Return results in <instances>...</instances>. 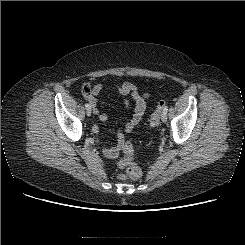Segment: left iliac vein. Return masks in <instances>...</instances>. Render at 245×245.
I'll return each mask as SVG.
<instances>
[{"label": "left iliac vein", "instance_id": "4c4485c4", "mask_svg": "<svg viewBox=\"0 0 245 245\" xmlns=\"http://www.w3.org/2000/svg\"><path fill=\"white\" fill-rule=\"evenodd\" d=\"M161 120H162V122H166L167 121V113H162V115H161Z\"/></svg>", "mask_w": 245, "mask_h": 245}]
</instances>
